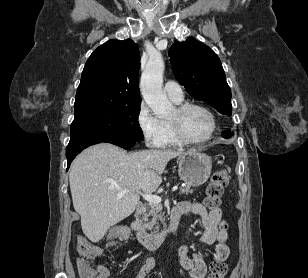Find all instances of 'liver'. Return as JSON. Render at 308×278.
Masks as SVG:
<instances>
[{"label": "liver", "instance_id": "liver-1", "mask_svg": "<svg viewBox=\"0 0 308 278\" xmlns=\"http://www.w3.org/2000/svg\"><path fill=\"white\" fill-rule=\"evenodd\" d=\"M184 153L158 149L126 153L110 143L81 152L72 163L69 182L73 206L81 216L86 237L96 243L111 226L131 215L139 203L140 191H155L167 163ZM119 188L130 191L118 198Z\"/></svg>", "mask_w": 308, "mask_h": 278}]
</instances>
